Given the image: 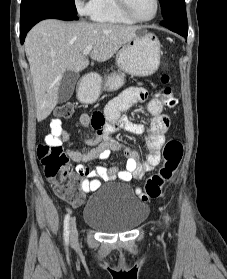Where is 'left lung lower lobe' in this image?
Returning <instances> with one entry per match:
<instances>
[{
    "label": "left lung lower lobe",
    "instance_id": "1",
    "mask_svg": "<svg viewBox=\"0 0 227 279\" xmlns=\"http://www.w3.org/2000/svg\"><path fill=\"white\" fill-rule=\"evenodd\" d=\"M162 26H165L169 30L178 33L179 35L183 37H187L188 34V27H187V17H169L163 19V21L160 23Z\"/></svg>",
    "mask_w": 227,
    "mask_h": 279
}]
</instances>
